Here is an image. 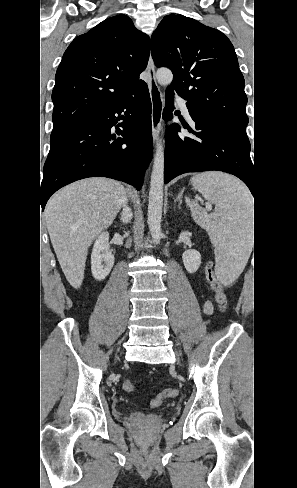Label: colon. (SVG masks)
<instances>
[{
  "mask_svg": "<svg viewBox=\"0 0 297 488\" xmlns=\"http://www.w3.org/2000/svg\"><path fill=\"white\" fill-rule=\"evenodd\" d=\"M205 276L210 285L212 292L214 293V298L220 309H226L227 307V295L223 291L221 284L218 282L215 274V266L213 262H208L205 266ZM123 389L127 393H132L135 390V386L132 382L126 381L123 384ZM178 395L177 388H167L163 392L159 393L151 402L150 406L156 408L162 404V402L167 398H173Z\"/></svg>",
  "mask_w": 297,
  "mask_h": 488,
  "instance_id": "5ec220e1",
  "label": "colon"
}]
</instances>
